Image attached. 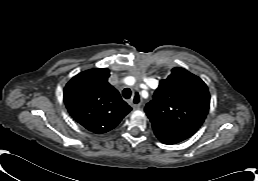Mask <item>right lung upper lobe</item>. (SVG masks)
<instances>
[{"mask_svg":"<svg viewBox=\"0 0 258 181\" xmlns=\"http://www.w3.org/2000/svg\"><path fill=\"white\" fill-rule=\"evenodd\" d=\"M109 70L95 68L73 77L64 89L70 115L86 129L105 133L116 127L131 107L108 83Z\"/></svg>","mask_w":258,"mask_h":181,"instance_id":"cb5924a9","label":"right lung upper lobe"}]
</instances>
